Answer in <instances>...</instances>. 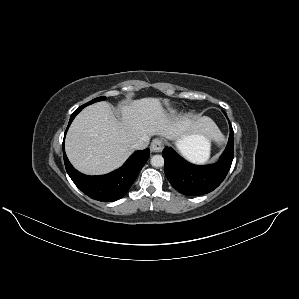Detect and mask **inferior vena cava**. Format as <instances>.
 <instances>
[{
	"label": "inferior vena cava",
	"instance_id": "602c4592",
	"mask_svg": "<svg viewBox=\"0 0 299 299\" xmlns=\"http://www.w3.org/2000/svg\"><path fill=\"white\" fill-rule=\"evenodd\" d=\"M149 140L150 139L148 137L142 138V139H140V140H138L134 143L133 148L134 149H139V150L140 149H145L149 144Z\"/></svg>",
	"mask_w": 299,
	"mask_h": 299
}]
</instances>
